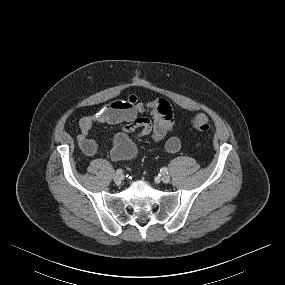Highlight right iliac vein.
I'll use <instances>...</instances> for the list:
<instances>
[{"instance_id": "1", "label": "right iliac vein", "mask_w": 285, "mask_h": 285, "mask_svg": "<svg viewBox=\"0 0 285 285\" xmlns=\"http://www.w3.org/2000/svg\"><path fill=\"white\" fill-rule=\"evenodd\" d=\"M114 182H115L117 185H120L121 182H122V176L116 174V175L114 176Z\"/></svg>"}]
</instances>
